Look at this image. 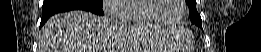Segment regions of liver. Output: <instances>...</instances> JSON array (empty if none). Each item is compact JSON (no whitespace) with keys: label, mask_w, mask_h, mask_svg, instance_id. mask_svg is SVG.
<instances>
[{"label":"liver","mask_w":261,"mask_h":52,"mask_svg":"<svg viewBox=\"0 0 261 52\" xmlns=\"http://www.w3.org/2000/svg\"><path fill=\"white\" fill-rule=\"evenodd\" d=\"M136 48H158L163 31L144 26H125L113 17L71 11L51 17L41 29L38 52H118L120 40ZM123 52V51H121Z\"/></svg>","instance_id":"liver-1"}]
</instances>
